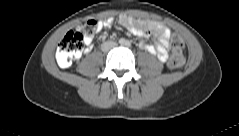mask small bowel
I'll use <instances>...</instances> for the list:
<instances>
[{
    "label": "small bowel",
    "mask_w": 239,
    "mask_h": 136,
    "mask_svg": "<svg viewBox=\"0 0 239 136\" xmlns=\"http://www.w3.org/2000/svg\"><path fill=\"white\" fill-rule=\"evenodd\" d=\"M119 23L127 28V30L134 36L138 37H158V44L156 46L143 44L144 48L149 53L156 55L161 62L168 59L169 51V37L171 31L165 25L155 22H147L136 20L126 15L119 17ZM112 25V20H107L99 23V29L109 28ZM93 43L92 37H85L84 44L91 48Z\"/></svg>",
    "instance_id": "obj_1"
}]
</instances>
